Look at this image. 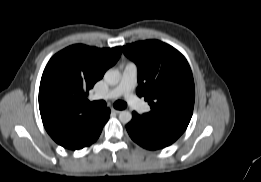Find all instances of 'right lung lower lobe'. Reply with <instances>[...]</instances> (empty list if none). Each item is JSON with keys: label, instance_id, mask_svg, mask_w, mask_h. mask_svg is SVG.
<instances>
[{"label": "right lung lower lobe", "instance_id": "1", "mask_svg": "<svg viewBox=\"0 0 261 182\" xmlns=\"http://www.w3.org/2000/svg\"><path fill=\"white\" fill-rule=\"evenodd\" d=\"M110 109L98 110L96 114L81 124L76 138L64 148L76 150L91 145L99 137L103 126L108 121Z\"/></svg>", "mask_w": 261, "mask_h": 182}]
</instances>
